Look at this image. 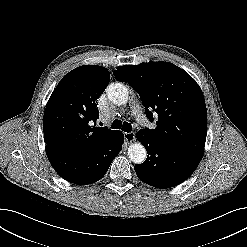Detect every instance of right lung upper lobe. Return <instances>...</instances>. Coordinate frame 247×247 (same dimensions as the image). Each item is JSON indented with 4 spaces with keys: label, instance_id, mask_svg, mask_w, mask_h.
I'll list each match as a JSON object with an SVG mask.
<instances>
[{
    "label": "right lung upper lobe",
    "instance_id": "cb5924a9",
    "mask_svg": "<svg viewBox=\"0 0 247 247\" xmlns=\"http://www.w3.org/2000/svg\"><path fill=\"white\" fill-rule=\"evenodd\" d=\"M101 66L84 65L67 73L50 96L43 119L47 147L72 154L90 152L116 130L94 127L99 118L97 99L109 84Z\"/></svg>",
    "mask_w": 247,
    "mask_h": 247
}]
</instances>
